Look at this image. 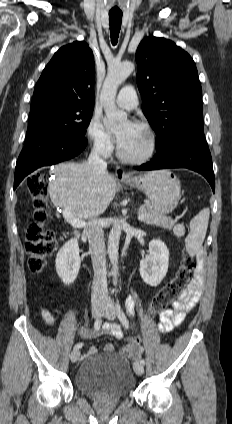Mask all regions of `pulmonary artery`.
I'll return each mask as SVG.
<instances>
[{"label":"pulmonary artery","instance_id":"obj_1","mask_svg":"<svg viewBox=\"0 0 232 424\" xmlns=\"http://www.w3.org/2000/svg\"><path fill=\"white\" fill-rule=\"evenodd\" d=\"M116 103L121 108L129 110L136 108L138 105V95L134 87H123L117 95Z\"/></svg>","mask_w":232,"mask_h":424}]
</instances>
